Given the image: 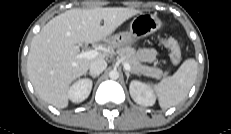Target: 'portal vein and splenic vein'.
Segmentation results:
<instances>
[{"label":"portal vein and splenic vein","mask_w":231,"mask_h":134,"mask_svg":"<svg viewBox=\"0 0 231 134\" xmlns=\"http://www.w3.org/2000/svg\"><path fill=\"white\" fill-rule=\"evenodd\" d=\"M99 55V51L98 50H88V51H84L81 52L79 54V58H95ZM124 69L127 71L131 70V66L129 65V63L124 62L123 63Z\"/></svg>","instance_id":"18ae733b"}]
</instances>
